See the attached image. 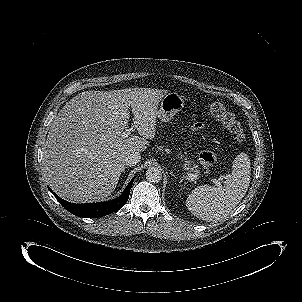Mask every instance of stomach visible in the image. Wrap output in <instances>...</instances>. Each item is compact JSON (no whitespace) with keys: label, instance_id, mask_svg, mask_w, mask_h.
Here are the masks:
<instances>
[{"label":"stomach","instance_id":"1","mask_svg":"<svg viewBox=\"0 0 302 302\" xmlns=\"http://www.w3.org/2000/svg\"><path fill=\"white\" fill-rule=\"evenodd\" d=\"M185 105L184 98L175 92L166 93L161 99L157 117L162 122H168L172 117L182 110Z\"/></svg>","mask_w":302,"mask_h":302}]
</instances>
